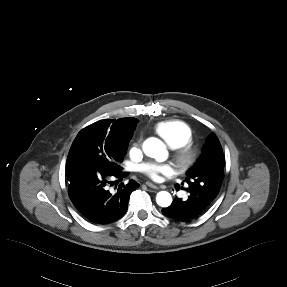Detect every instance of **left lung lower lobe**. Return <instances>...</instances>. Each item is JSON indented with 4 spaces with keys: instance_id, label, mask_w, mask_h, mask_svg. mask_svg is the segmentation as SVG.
Returning <instances> with one entry per match:
<instances>
[{
    "instance_id": "0a47b994",
    "label": "left lung lower lobe",
    "mask_w": 287,
    "mask_h": 287,
    "mask_svg": "<svg viewBox=\"0 0 287 287\" xmlns=\"http://www.w3.org/2000/svg\"><path fill=\"white\" fill-rule=\"evenodd\" d=\"M210 204L205 198L189 192L188 198H175L169 207L162 209V213L170 218L186 221L201 215Z\"/></svg>"
}]
</instances>
